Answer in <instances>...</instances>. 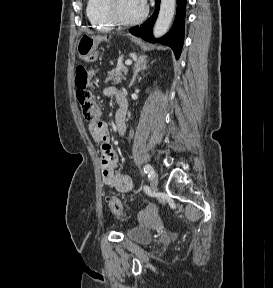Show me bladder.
Returning <instances> with one entry per match:
<instances>
[{"label":"bladder","mask_w":273,"mask_h":288,"mask_svg":"<svg viewBox=\"0 0 273 288\" xmlns=\"http://www.w3.org/2000/svg\"><path fill=\"white\" fill-rule=\"evenodd\" d=\"M126 238L139 244H147L152 241L153 234L148 229L142 227H134L127 231Z\"/></svg>","instance_id":"1"}]
</instances>
